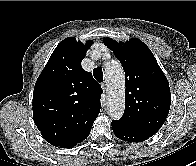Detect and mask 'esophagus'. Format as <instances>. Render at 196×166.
Returning a JSON list of instances; mask_svg holds the SVG:
<instances>
[{
    "mask_svg": "<svg viewBox=\"0 0 196 166\" xmlns=\"http://www.w3.org/2000/svg\"><path fill=\"white\" fill-rule=\"evenodd\" d=\"M101 86H102V89H103L104 92H105L106 89H107V83H106V81H104V82L101 84Z\"/></svg>",
    "mask_w": 196,
    "mask_h": 166,
    "instance_id": "esophagus-1",
    "label": "esophagus"
}]
</instances>
